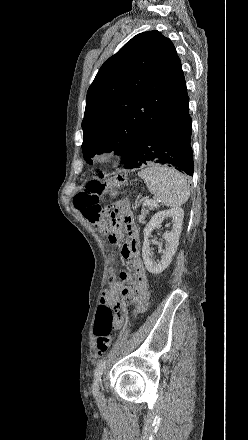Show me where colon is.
<instances>
[{
  "label": "colon",
  "instance_id": "obj_1",
  "mask_svg": "<svg viewBox=\"0 0 248 440\" xmlns=\"http://www.w3.org/2000/svg\"><path fill=\"white\" fill-rule=\"evenodd\" d=\"M102 191L103 184L99 181L91 180L86 184L85 189L75 196L74 205L84 218L96 225L100 233L107 236L112 245H118L119 237L113 229L110 216H105L99 205V195ZM114 319L115 316L111 308L104 303H100L94 325L96 347L99 355L105 354L110 348Z\"/></svg>",
  "mask_w": 248,
  "mask_h": 440
}]
</instances>
